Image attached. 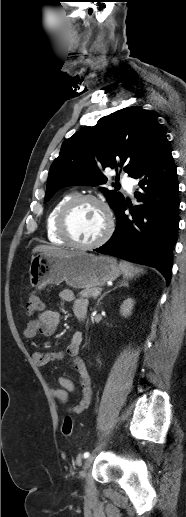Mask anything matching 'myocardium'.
Segmentation results:
<instances>
[{
	"mask_svg": "<svg viewBox=\"0 0 186 517\" xmlns=\"http://www.w3.org/2000/svg\"><path fill=\"white\" fill-rule=\"evenodd\" d=\"M83 202H93L101 207L106 216V227L102 235L91 243H80L76 241L69 229L70 216L74 209ZM57 231L67 244L77 249L92 250L102 246L112 236L114 231V218L107 203L101 198L92 194H80L72 197L61 209L57 218Z\"/></svg>",
	"mask_w": 186,
	"mask_h": 517,
	"instance_id": "f54148a6",
	"label": "myocardium"
}]
</instances>
